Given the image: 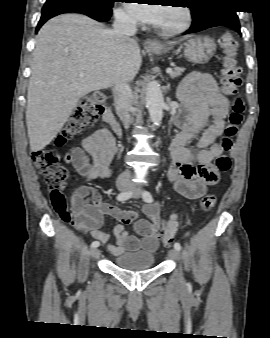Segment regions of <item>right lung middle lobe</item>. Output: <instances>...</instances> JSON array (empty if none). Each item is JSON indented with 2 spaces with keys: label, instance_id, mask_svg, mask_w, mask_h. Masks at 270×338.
Masks as SVG:
<instances>
[{
  "label": "right lung middle lobe",
  "instance_id": "obj_1",
  "mask_svg": "<svg viewBox=\"0 0 270 338\" xmlns=\"http://www.w3.org/2000/svg\"><path fill=\"white\" fill-rule=\"evenodd\" d=\"M116 0H47L45 4H86L104 8H112Z\"/></svg>",
  "mask_w": 270,
  "mask_h": 338
}]
</instances>
